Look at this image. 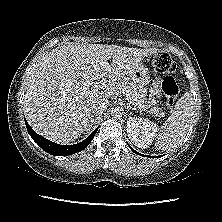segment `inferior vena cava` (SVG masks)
<instances>
[{"label":"inferior vena cava","mask_w":222,"mask_h":222,"mask_svg":"<svg viewBox=\"0 0 222 222\" xmlns=\"http://www.w3.org/2000/svg\"><path fill=\"white\" fill-rule=\"evenodd\" d=\"M108 107V101L107 99H99L95 104L91 107V113L93 115L102 114L104 111H106Z\"/></svg>","instance_id":"1"}]
</instances>
